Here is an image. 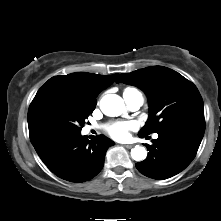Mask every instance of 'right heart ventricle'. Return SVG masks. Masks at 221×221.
<instances>
[{
    "instance_id": "right-heart-ventricle-1",
    "label": "right heart ventricle",
    "mask_w": 221,
    "mask_h": 221,
    "mask_svg": "<svg viewBox=\"0 0 221 221\" xmlns=\"http://www.w3.org/2000/svg\"><path fill=\"white\" fill-rule=\"evenodd\" d=\"M138 91L134 88H127L124 91V94H132V93H137Z\"/></svg>"
}]
</instances>
